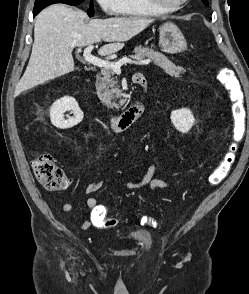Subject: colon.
<instances>
[{"mask_svg":"<svg viewBox=\"0 0 249 294\" xmlns=\"http://www.w3.org/2000/svg\"><path fill=\"white\" fill-rule=\"evenodd\" d=\"M217 79L227 91L228 100L231 107L233 125L232 135L235 140H240L245 129V109L244 96L239 83L232 77H226V73L221 69L217 73ZM235 146H231V153L228 154L222 162L211 172L208 177V183L216 186L227 176L232 162ZM32 168L36 179L47 190L60 191L68 187L69 179L64 171L55 164L53 158L48 153H43L32 161ZM144 223L154 226V221L145 218Z\"/></svg>","mask_w":249,"mask_h":294,"instance_id":"1","label":"colon"}]
</instances>
